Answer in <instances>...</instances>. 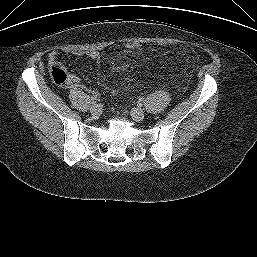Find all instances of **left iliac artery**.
<instances>
[{"mask_svg": "<svg viewBox=\"0 0 257 257\" xmlns=\"http://www.w3.org/2000/svg\"><path fill=\"white\" fill-rule=\"evenodd\" d=\"M143 102H144V98L143 97L139 98L138 103L142 104Z\"/></svg>", "mask_w": 257, "mask_h": 257, "instance_id": "left-iliac-artery-1", "label": "left iliac artery"}]
</instances>
